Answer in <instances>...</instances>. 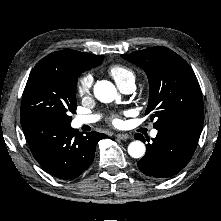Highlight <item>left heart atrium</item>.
<instances>
[{
  "label": "left heart atrium",
  "instance_id": "obj_1",
  "mask_svg": "<svg viewBox=\"0 0 221 221\" xmlns=\"http://www.w3.org/2000/svg\"><path fill=\"white\" fill-rule=\"evenodd\" d=\"M112 124L115 125V126H121L122 125V120L118 117H114L112 119Z\"/></svg>",
  "mask_w": 221,
  "mask_h": 221
}]
</instances>
